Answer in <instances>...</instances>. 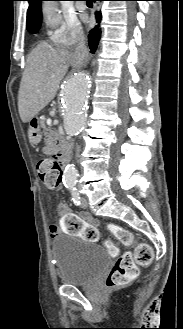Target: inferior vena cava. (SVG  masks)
I'll use <instances>...</instances> for the list:
<instances>
[{
	"mask_svg": "<svg viewBox=\"0 0 183 329\" xmlns=\"http://www.w3.org/2000/svg\"><path fill=\"white\" fill-rule=\"evenodd\" d=\"M87 55H88L87 48L83 44L80 45L75 51V57L77 63L81 65L85 61Z\"/></svg>",
	"mask_w": 183,
	"mask_h": 329,
	"instance_id": "obj_1",
	"label": "inferior vena cava"
}]
</instances>
